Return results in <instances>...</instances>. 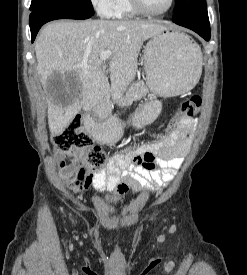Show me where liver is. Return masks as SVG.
<instances>
[{
	"mask_svg": "<svg viewBox=\"0 0 247 275\" xmlns=\"http://www.w3.org/2000/svg\"><path fill=\"white\" fill-rule=\"evenodd\" d=\"M167 28L153 21H54L46 25L35 42L37 72L46 88L54 72L73 73L79 82L78 91L63 103L48 100V125L58 135L83 109L90 111L112 97L118 102L135 78L137 58L143 42ZM112 52L110 83L102 52Z\"/></svg>",
	"mask_w": 247,
	"mask_h": 275,
	"instance_id": "liver-1",
	"label": "liver"
}]
</instances>
